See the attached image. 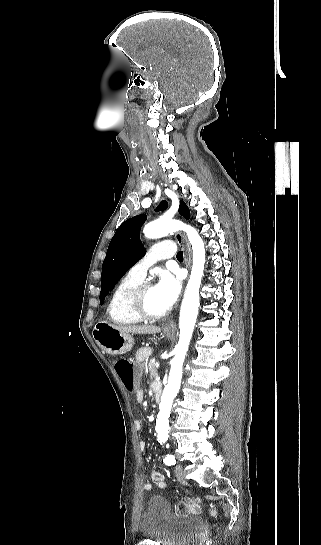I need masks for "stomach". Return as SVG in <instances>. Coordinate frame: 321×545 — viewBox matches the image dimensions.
Masks as SVG:
<instances>
[{
	"instance_id": "1",
	"label": "stomach",
	"mask_w": 321,
	"mask_h": 545,
	"mask_svg": "<svg viewBox=\"0 0 321 545\" xmlns=\"http://www.w3.org/2000/svg\"><path fill=\"white\" fill-rule=\"evenodd\" d=\"M165 335H172L170 329H164ZM93 339L98 347L109 353V355H122L131 351L134 345V339L130 333H120L110 323L99 321L93 329Z\"/></svg>"
}]
</instances>
